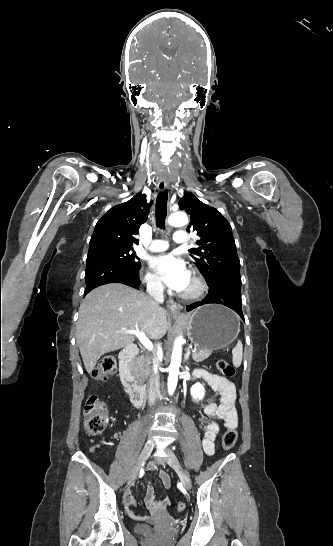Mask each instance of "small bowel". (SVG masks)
<instances>
[{"label":"small bowel","instance_id":"c3829d8e","mask_svg":"<svg viewBox=\"0 0 333 546\" xmlns=\"http://www.w3.org/2000/svg\"><path fill=\"white\" fill-rule=\"evenodd\" d=\"M193 376L195 379L202 380L208 387L219 393V402H209L204 408V413L209 417L221 421L225 429H235L238 425V414L234 405L236 398L234 384L227 378L212 374L204 369H197ZM219 431V426L215 421H212L207 425L202 439L203 450L207 455H213L215 450L214 441ZM149 472H155L154 465L150 467ZM159 478L163 486L168 489L170 487L169 474L166 471H160ZM169 502L168 497L156 499L154 488L151 485H147L146 505L151 514L155 515L164 511L169 505ZM134 505L135 499L131 491H128L124 497L125 510L131 517L140 518L132 511Z\"/></svg>","mask_w":333,"mask_h":546}]
</instances>
